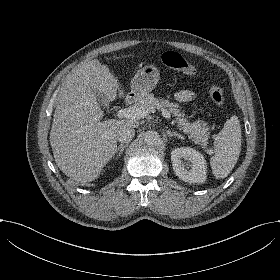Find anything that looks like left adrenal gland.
<instances>
[{
	"mask_svg": "<svg viewBox=\"0 0 280 280\" xmlns=\"http://www.w3.org/2000/svg\"><path fill=\"white\" fill-rule=\"evenodd\" d=\"M166 134H167L168 137L177 136V137H180L182 140L184 139L183 135L178 133L177 131L167 130Z\"/></svg>",
	"mask_w": 280,
	"mask_h": 280,
	"instance_id": "a2214340",
	"label": "left adrenal gland"
}]
</instances>
